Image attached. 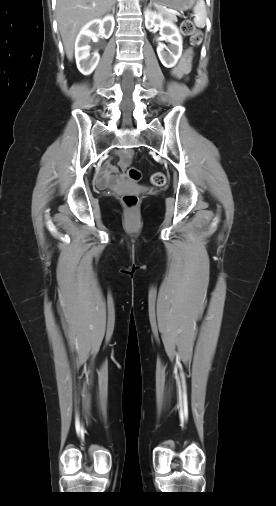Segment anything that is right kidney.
<instances>
[{"label":"right kidney","instance_id":"1","mask_svg":"<svg viewBox=\"0 0 276 506\" xmlns=\"http://www.w3.org/2000/svg\"><path fill=\"white\" fill-rule=\"evenodd\" d=\"M114 26V17L106 15L102 19L89 21L81 28L75 41V59L77 67L82 74H91L100 60L97 51L90 54V41L96 40L99 36L109 38L113 33Z\"/></svg>","mask_w":276,"mask_h":506}]
</instances>
